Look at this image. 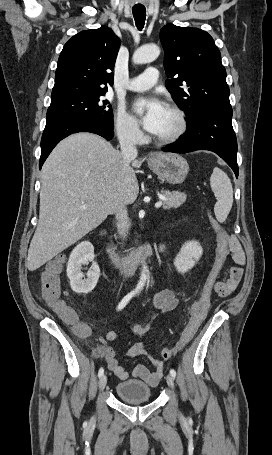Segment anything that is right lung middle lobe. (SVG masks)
Masks as SVG:
<instances>
[{
    "label": "right lung middle lobe",
    "instance_id": "dd1d6c3e",
    "mask_svg": "<svg viewBox=\"0 0 272 455\" xmlns=\"http://www.w3.org/2000/svg\"><path fill=\"white\" fill-rule=\"evenodd\" d=\"M105 94L70 96L51 101L46 124L72 119H93L113 127V111Z\"/></svg>",
    "mask_w": 272,
    "mask_h": 455
}]
</instances>
